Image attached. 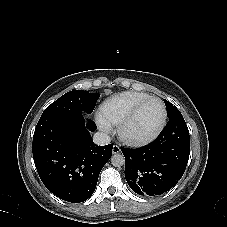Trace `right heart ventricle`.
I'll return each instance as SVG.
<instances>
[{
    "label": "right heart ventricle",
    "instance_id": "obj_1",
    "mask_svg": "<svg viewBox=\"0 0 227 227\" xmlns=\"http://www.w3.org/2000/svg\"><path fill=\"white\" fill-rule=\"evenodd\" d=\"M150 97L143 92H123L104 101L99 108V117L110 124H119L142 101Z\"/></svg>",
    "mask_w": 227,
    "mask_h": 227
}]
</instances>
